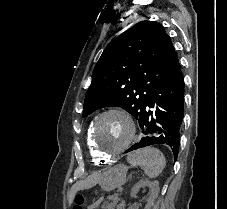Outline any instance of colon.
Segmentation results:
<instances>
[{
  "label": "colon",
  "mask_w": 227,
  "mask_h": 209,
  "mask_svg": "<svg viewBox=\"0 0 227 209\" xmlns=\"http://www.w3.org/2000/svg\"><path fill=\"white\" fill-rule=\"evenodd\" d=\"M84 198L80 195L77 196L75 204L72 206V209H83Z\"/></svg>",
  "instance_id": "1"
}]
</instances>
